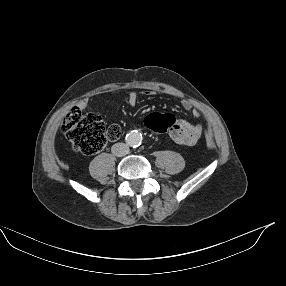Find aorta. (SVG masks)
<instances>
[{
  "label": "aorta",
  "mask_w": 286,
  "mask_h": 286,
  "mask_svg": "<svg viewBox=\"0 0 286 286\" xmlns=\"http://www.w3.org/2000/svg\"><path fill=\"white\" fill-rule=\"evenodd\" d=\"M142 139V134L136 130H133L126 135V142L131 147H138L141 144Z\"/></svg>",
  "instance_id": "762f6f07"
}]
</instances>
